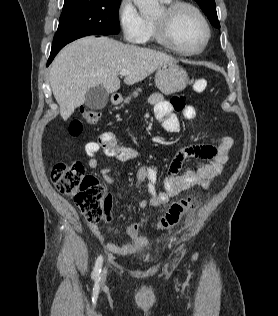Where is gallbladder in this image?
<instances>
[{
	"instance_id": "bac80fb5",
	"label": "gallbladder",
	"mask_w": 278,
	"mask_h": 316,
	"mask_svg": "<svg viewBox=\"0 0 278 316\" xmlns=\"http://www.w3.org/2000/svg\"><path fill=\"white\" fill-rule=\"evenodd\" d=\"M109 93L102 85L89 89L85 95V105L91 110H101L108 102Z\"/></svg>"
}]
</instances>
